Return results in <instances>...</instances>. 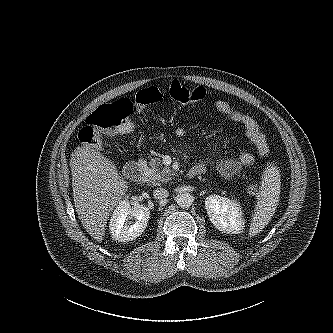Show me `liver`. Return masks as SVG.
<instances>
[{
    "instance_id": "6515ba94",
    "label": "liver",
    "mask_w": 333,
    "mask_h": 333,
    "mask_svg": "<svg viewBox=\"0 0 333 333\" xmlns=\"http://www.w3.org/2000/svg\"><path fill=\"white\" fill-rule=\"evenodd\" d=\"M73 199L83 227L98 242L111 211L121 202L127 182L108 158L85 144L71 154Z\"/></svg>"
}]
</instances>
